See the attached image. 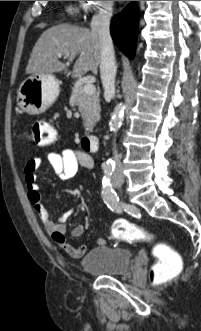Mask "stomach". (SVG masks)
Wrapping results in <instances>:
<instances>
[{"label": "stomach", "mask_w": 201, "mask_h": 331, "mask_svg": "<svg viewBox=\"0 0 201 331\" xmlns=\"http://www.w3.org/2000/svg\"><path fill=\"white\" fill-rule=\"evenodd\" d=\"M60 93L58 80L51 74H33L18 89L17 104L28 115L44 113Z\"/></svg>", "instance_id": "stomach-1"}]
</instances>
